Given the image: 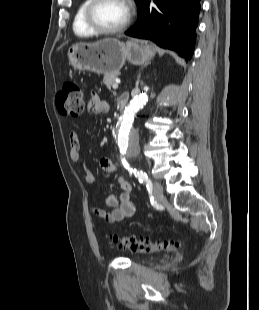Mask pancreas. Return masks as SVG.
<instances>
[{"mask_svg":"<svg viewBox=\"0 0 259 310\" xmlns=\"http://www.w3.org/2000/svg\"><path fill=\"white\" fill-rule=\"evenodd\" d=\"M118 74L117 73H106L104 75V78H103V83L104 85L110 89L111 86L114 84L115 82V79L117 78Z\"/></svg>","mask_w":259,"mask_h":310,"instance_id":"obj_1","label":"pancreas"}]
</instances>
